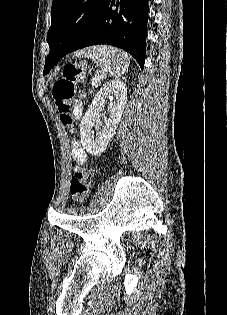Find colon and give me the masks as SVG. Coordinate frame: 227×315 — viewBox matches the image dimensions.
<instances>
[{"mask_svg": "<svg viewBox=\"0 0 227 315\" xmlns=\"http://www.w3.org/2000/svg\"><path fill=\"white\" fill-rule=\"evenodd\" d=\"M84 66L79 63H71L63 68L62 78L53 86L52 94L60 113L61 124L73 132L76 124L77 113L72 109L70 100L75 94L76 85L84 79ZM70 195L77 201H85L90 193L89 174L86 169L76 167L70 180Z\"/></svg>", "mask_w": 227, "mask_h": 315, "instance_id": "colon-1", "label": "colon"}]
</instances>
